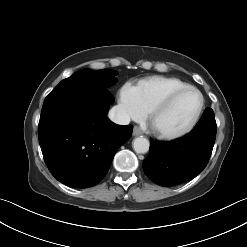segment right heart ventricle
<instances>
[{
	"label": "right heart ventricle",
	"mask_w": 247,
	"mask_h": 247,
	"mask_svg": "<svg viewBox=\"0 0 247 247\" xmlns=\"http://www.w3.org/2000/svg\"><path fill=\"white\" fill-rule=\"evenodd\" d=\"M189 85L179 79L153 76L137 83V91L140 103L146 112L171 92L188 87Z\"/></svg>",
	"instance_id": "right-heart-ventricle-1"
}]
</instances>
